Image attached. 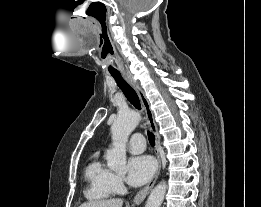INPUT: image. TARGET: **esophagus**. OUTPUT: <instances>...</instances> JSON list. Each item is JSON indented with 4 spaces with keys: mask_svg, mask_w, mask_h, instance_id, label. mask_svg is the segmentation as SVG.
<instances>
[{
    "mask_svg": "<svg viewBox=\"0 0 261 207\" xmlns=\"http://www.w3.org/2000/svg\"><path fill=\"white\" fill-rule=\"evenodd\" d=\"M126 80L128 81V83L135 89V91L137 92L141 103L143 105V109L145 112V116H146V121L151 129V131L154 133L155 138H156V145H157V159H158V169L154 175V177L152 178V180L143 188L141 189L136 196L134 197V203L135 204H140L144 201V199L147 197V195L149 194V192L151 191V189L153 188L156 180L158 179V176L160 174V170H161V156L158 150V147L160 145V136L158 133V128L154 119V114L153 111L151 109L149 100L147 99L143 89L141 88V86L138 84L137 81H135L131 76H125Z\"/></svg>",
    "mask_w": 261,
    "mask_h": 207,
    "instance_id": "34e87169",
    "label": "esophagus"
}]
</instances>
